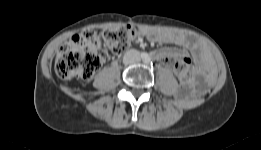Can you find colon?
I'll use <instances>...</instances> for the list:
<instances>
[{
    "instance_id": "1",
    "label": "colon",
    "mask_w": 261,
    "mask_h": 150,
    "mask_svg": "<svg viewBox=\"0 0 261 150\" xmlns=\"http://www.w3.org/2000/svg\"><path fill=\"white\" fill-rule=\"evenodd\" d=\"M139 36V29L132 25L109 28L99 35L73 36L60 47L55 59V72L63 80L89 79L109 52L123 54ZM100 40L105 47L100 46ZM162 63L176 72L181 83L185 84L190 80L191 60L188 56L172 51L164 57Z\"/></svg>"
}]
</instances>
